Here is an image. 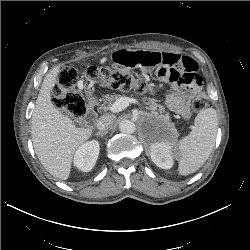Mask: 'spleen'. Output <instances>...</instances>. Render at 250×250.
Listing matches in <instances>:
<instances>
[{"mask_svg":"<svg viewBox=\"0 0 250 250\" xmlns=\"http://www.w3.org/2000/svg\"><path fill=\"white\" fill-rule=\"evenodd\" d=\"M218 118L213 108L201 110L188 136L179 142L178 172L187 176L201 168L209 158L217 135Z\"/></svg>","mask_w":250,"mask_h":250,"instance_id":"obj_1","label":"spleen"}]
</instances>
